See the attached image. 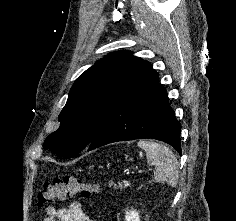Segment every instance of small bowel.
Instances as JSON below:
<instances>
[{"mask_svg": "<svg viewBox=\"0 0 236 221\" xmlns=\"http://www.w3.org/2000/svg\"><path fill=\"white\" fill-rule=\"evenodd\" d=\"M43 221H94L82 208L78 201L58 207L46 208V217Z\"/></svg>", "mask_w": 236, "mask_h": 221, "instance_id": "small-bowel-1", "label": "small bowel"}]
</instances>
